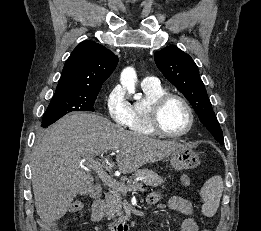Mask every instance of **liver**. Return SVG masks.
Here are the masks:
<instances>
[{
	"mask_svg": "<svg viewBox=\"0 0 261 231\" xmlns=\"http://www.w3.org/2000/svg\"><path fill=\"white\" fill-rule=\"evenodd\" d=\"M183 146L124 130L97 114H68L48 127L33 149L32 187L37 214L45 223L55 222L66 214L77 194L96 190L86 167L88 159L102 152L115 151L117 167L126 174L160 161ZM102 165L109 171L115 163L105 158Z\"/></svg>",
	"mask_w": 261,
	"mask_h": 231,
	"instance_id": "obj_1",
	"label": "liver"
}]
</instances>
